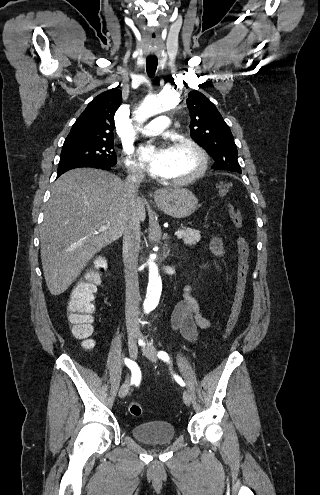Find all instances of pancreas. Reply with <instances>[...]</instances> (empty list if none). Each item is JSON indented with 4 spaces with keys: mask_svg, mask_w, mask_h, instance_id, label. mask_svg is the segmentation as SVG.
Listing matches in <instances>:
<instances>
[{
    "mask_svg": "<svg viewBox=\"0 0 320 495\" xmlns=\"http://www.w3.org/2000/svg\"><path fill=\"white\" fill-rule=\"evenodd\" d=\"M181 231H183V234L180 237L185 244L195 245L201 240L200 232L198 230L183 227Z\"/></svg>",
    "mask_w": 320,
    "mask_h": 495,
    "instance_id": "1",
    "label": "pancreas"
}]
</instances>
